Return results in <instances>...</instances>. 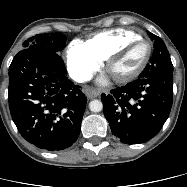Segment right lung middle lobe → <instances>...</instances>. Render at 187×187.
<instances>
[{
  "label": "right lung middle lobe",
  "instance_id": "1",
  "mask_svg": "<svg viewBox=\"0 0 187 187\" xmlns=\"http://www.w3.org/2000/svg\"><path fill=\"white\" fill-rule=\"evenodd\" d=\"M66 36L61 33L38 34L24 42L23 49L31 48L47 53L59 54L66 46Z\"/></svg>",
  "mask_w": 187,
  "mask_h": 187
}]
</instances>
